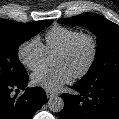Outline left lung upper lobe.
I'll return each instance as SVG.
<instances>
[{
    "label": "left lung upper lobe",
    "instance_id": "left-lung-upper-lobe-1",
    "mask_svg": "<svg viewBox=\"0 0 119 119\" xmlns=\"http://www.w3.org/2000/svg\"><path fill=\"white\" fill-rule=\"evenodd\" d=\"M66 25H81L97 36L95 60L79 83L119 80V26L95 13H84L58 20Z\"/></svg>",
    "mask_w": 119,
    "mask_h": 119
}]
</instances>
